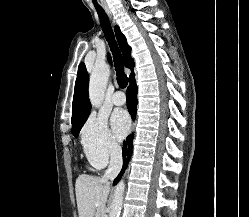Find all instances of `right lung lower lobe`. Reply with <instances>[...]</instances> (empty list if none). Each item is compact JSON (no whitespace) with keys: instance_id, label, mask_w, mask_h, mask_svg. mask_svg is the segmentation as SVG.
Listing matches in <instances>:
<instances>
[{"instance_id":"98d812e1","label":"right lung lower lobe","mask_w":249,"mask_h":217,"mask_svg":"<svg viewBox=\"0 0 249 217\" xmlns=\"http://www.w3.org/2000/svg\"><path fill=\"white\" fill-rule=\"evenodd\" d=\"M129 82H130V85L126 91L127 107H128L130 114L132 115V118H135L136 108H137V103H138L135 75L129 78ZM132 139H133L132 136H128L127 141L124 142L123 144V168L120 174L114 180V185L117 184V182L120 180L121 176L124 174V171L128 165V161L132 153Z\"/></svg>"}]
</instances>
